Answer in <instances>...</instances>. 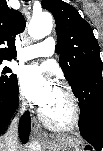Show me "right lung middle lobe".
I'll return each mask as SVG.
<instances>
[{"mask_svg":"<svg viewBox=\"0 0 103 151\" xmlns=\"http://www.w3.org/2000/svg\"><path fill=\"white\" fill-rule=\"evenodd\" d=\"M2 61H0L1 65ZM18 91V82L15 74L11 73V69L7 66H0V92L13 95Z\"/></svg>","mask_w":103,"mask_h":151,"instance_id":"obj_1","label":"right lung middle lobe"}]
</instances>
